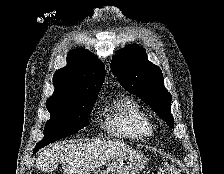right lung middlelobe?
<instances>
[{
	"label": "right lung middle lobe",
	"instance_id": "obj_1",
	"mask_svg": "<svg viewBox=\"0 0 224 174\" xmlns=\"http://www.w3.org/2000/svg\"><path fill=\"white\" fill-rule=\"evenodd\" d=\"M95 97L70 102H46L50 119L44 128V138L35 149L77 133L88 125Z\"/></svg>",
	"mask_w": 224,
	"mask_h": 174
}]
</instances>
